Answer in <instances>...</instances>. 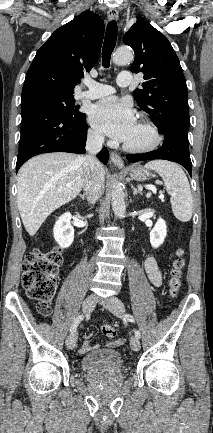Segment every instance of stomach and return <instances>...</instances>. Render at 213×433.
<instances>
[{"mask_svg":"<svg viewBox=\"0 0 213 433\" xmlns=\"http://www.w3.org/2000/svg\"><path fill=\"white\" fill-rule=\"evenodd\" d=\"M128 172H129V175L132 179H135L138 181H145L151 176V173L148 170L144 169L141 166H137V165H133V166L129 167Z\"/></svg>","mask_w":213,"mask_h":433,"instance_id":"1","label":"stomach"}]
</instances>
